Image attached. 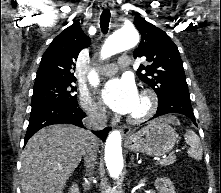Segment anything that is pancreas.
I'll list each match as a JSON object with an SVG mask.
<instances>
[{"instance_id": "obj_1", "label": "pancreas", "mask_w": 221, "mask_h": 193, "mask_svg": "<svg viewBox=\"0 0 221 193\" xmlns=\"http://www.w3.org/2000/svg\"><path fill=\"white\" fill-rule=\"evenodd\" d=\"M174 162H175V157L172 156V157L167 158L166 161L161 162L160 165H162V166H168V165H170V164H173Z\"/></svg>"}]
</instances>
